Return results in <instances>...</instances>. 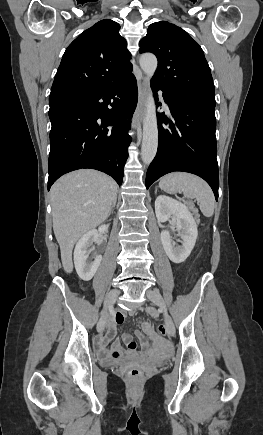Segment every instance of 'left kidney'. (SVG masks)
Returning a JSON list of instances; mask_svg holds the SVG:
<instances>
[{
    "label": "left kidney",
    "instance_id": "left-kidney-1",
    "mask_svg": "<svg viewBox=\"0 0 263 435\" xmlns=\"http://www.w3.org/2000/svg\"><path fill=\"white\" fill-rule=\"evenodd\" d=\"M155 213L159 222H166L169 218L174 217L182 245H175L168 230L161 232V241L172 262L177 264L184 262L193 250L198 236L197 225L191 212L180 201L160 195L155 200Z\"/></svg>",
    "mask_w": 263,
    "mask_h": 435
}]
</instances>
